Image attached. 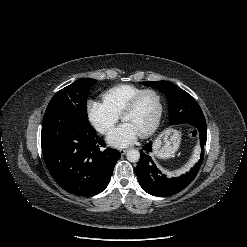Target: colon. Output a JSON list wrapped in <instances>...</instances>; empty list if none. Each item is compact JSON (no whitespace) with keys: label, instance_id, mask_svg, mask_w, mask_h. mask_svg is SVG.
Returning a JSON list of instances; mask_svg holds the SVG:
<instances>
[{"label":"colon","instance_id":"obj_1","mask_svg":"<svg viewBox=\"0 0 247 247\" xmlns=\"http://www.w3.org/2000/svg\"><path fill=\"white\" fill-rule=\"evenodd\" d=\"M191 135H192V136H195V135H196V132H195V131H192V132H191Z\"/></svg>","mask_w":247,"mask_h":247}]
</instances>
